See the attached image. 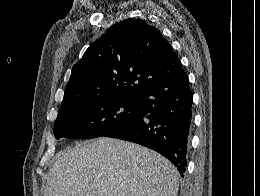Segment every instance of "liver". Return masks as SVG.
I'll return each mask as SVG.
<instances>
[{"instance_id":"1","label":"liver","mask_w":260,"mask_h":196,"mask_svg":"<svg viewBox=\"0 0 260 196\" xmlns=\"http://www.w3.org/2000/svg\"><path fill=\"white\" fill-rule=\"evenodd\" d=\"M178 176L153 150L99 138L57 154L44 196H177Z\"/></svg>"}]
</instances>
